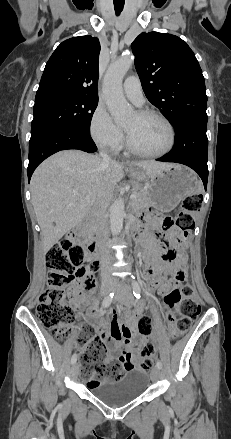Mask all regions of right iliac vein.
I'll return each instance as SVG.
<instances>
[{"label": "right iliac vein", "mask_w": 231, "mask_h": 439, "mask_svg": "<svg viewBox=\"0 0 231 439\" xmlns=\"http://www.w3.org/2000/svg\"><path fill=\"white\" fill-rule=\"evenodd\" d=\"M115 287V284H111L108 288L109 291H111L113 288ZM79 370H80V365L79 363H74L71 369V377L73 379H77L78 374H79Z\"/></svg>", "instance_id": "1"}]
</instances>
